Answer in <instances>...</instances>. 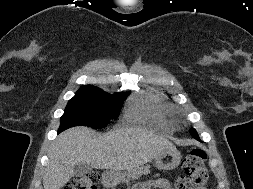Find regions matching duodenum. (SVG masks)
Listing matches in <instances>:
<instances>
[{
    "mask_svg": "<svg viewBox=\"0 0 253 189\" xmlns=\"http://www.w3.org/2000/svg\"><path fill=\"white\" fill-rule=\"evenodd\" d=\"M103 181L106 186H111L114 181V174L111 171H107L103 176Z\"/></svg>",
    "mask_w": 253,
    "mask_h": 189,
    "instance_id": "obj_1",
    "label": "duodenum"
}]
</instances>
